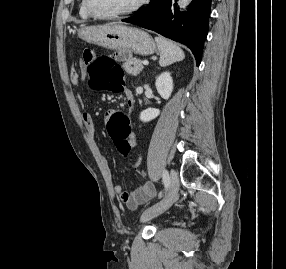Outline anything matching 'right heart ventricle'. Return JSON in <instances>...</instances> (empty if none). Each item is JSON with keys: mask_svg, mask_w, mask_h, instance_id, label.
Returning <instances> with one entry per match:
<instances>
[{"mask_svg": "<svg viewBox=\"0 0 286 269\" xmlns=\"http://www.w3.org/2000/svg\"><path fill=\"white\" fill-rule=\"evenodd\" d=\"M79 13L82 17L84 18H88L90 15L87 13L86 9H85V6H84V1L81 0V3H80V10H79Z\"/></svg>", "mask_w": 286, "mask_h": 269, "instance_id": "obj_1", "label": "right heart ventricle"}]
</instances>
